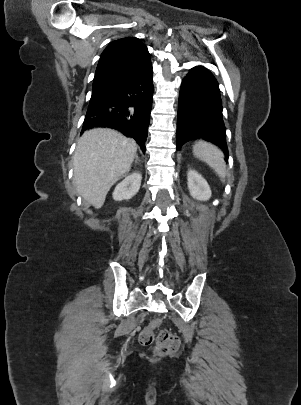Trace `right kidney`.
<instances>
[{
	"label": "right kidney",
	"mask_w": 301,
	"mask_h": 405,
	"mask_svg": "<svg viewBox=\"0 0 301 405\" xmlns=\"http://www.w3.org/2000/svg\"><path fill=\"white\" fill-rule=\"evenodd\" d=\"M142 175L140 172H133L125 177L114 189L112 194L113 199L116 201L129 200L140 189Z\"/></svg>",
	"instance_id": "right-kidney-1"
}]
</instances>
